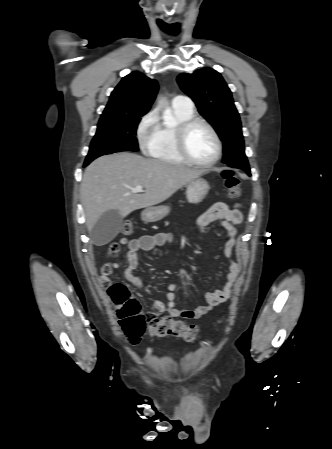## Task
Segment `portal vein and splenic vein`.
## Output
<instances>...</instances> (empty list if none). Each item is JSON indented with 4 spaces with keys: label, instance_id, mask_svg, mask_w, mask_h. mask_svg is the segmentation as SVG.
I'll use <instances>...</instances> for the list:
<instances>
[{
    "label": "portal vein and splenic vein",
    "instance_id": "1",
    "mask_svg": "<svg viewBox=\"0 0 332 449\" xmlns=\"http://www.w3.org/2000/svg\"><path fill=\"white\" fill-rule=\"evenodd\" d=\"M132 193H141L143 192V188L140 185L135 186L134 188L131 189Z\"/></svg>",
    "mask_w": 332,
    "mask_h": 449
}]
</instances>
